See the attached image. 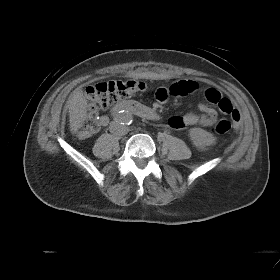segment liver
<instances>
[{
  "label": "liver",
  "instance_id": "obj_1",
  "mask_svg": "<svg viewBox=\"0 0 280 280\" xmlns=\"http://www.w3.org/2000/svg\"><path fill=\"white\" fill-rule=\"evenodd\" d=\"M70 131L76 133L86 119L88 103L82 89L77 88L73 91L68 101Z\"/></svg>",
  "mask_w": 280,
  "mask_h": 280
}]
</instances>
